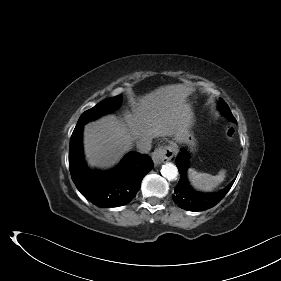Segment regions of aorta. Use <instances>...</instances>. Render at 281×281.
<instances>
[{"mask_svg":"<svg viewBox=\"0 0 281 281\" xmlns=\"http://www.w3.org/2000/svg\"><path fill=\"white\" fill-rule=\"evenodd\" d=\"M161 174L168 180H175L178 176V169L176 165L171 162H167L162 166Z\"/></svg>","mask_w":281,"mask_h":281,"instance_id":"aorta-1","label":"aorta"}]
</instances>
